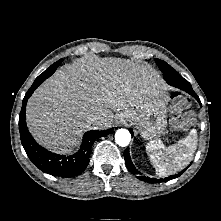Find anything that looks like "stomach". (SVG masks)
Returning a JSON list of instances; mask_svg holds the SVG:
<instances>
[{"mask_svg":"<svg viewBox=\"0 0 221 221\" xmlns=\"http://www.w3.org/2000/svg\"><path fill=\"white\" fill-rule=\"evenodd\" d=\"M166 92L149 101L129 109L120 114V118L136 125L144 139H153L161 135L166 128Z\"/></svg>","mask_w":221,"mask_h":221,"instance_id":"1","label":"stomach"}]
</instances>
